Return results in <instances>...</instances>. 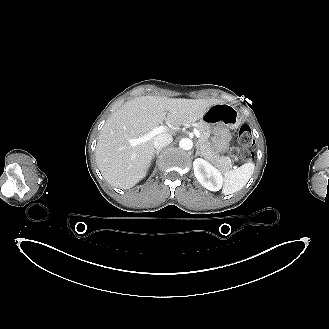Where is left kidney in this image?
Wrapping results in <instances>:
<instances>
[{"instance_id":"left-kidney-1","label":"left kidney","mask_w":329,"mask_h":329,"mask_svg":"<svg viewBox=\"0 0 329 329\" xmlns=\"http://www.w3.org/2000/svg\"><path fill=\"white\" fill-rule=\"evenodd\" d=\"M194 174L200 184L210 191H219L223 185V176L219 169L202 158L193 162Z\"/></svg>"}]
</instances>
